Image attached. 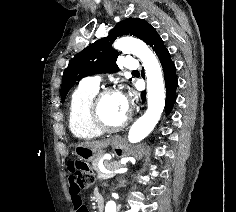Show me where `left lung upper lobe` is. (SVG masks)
Listing matches in <instances>:
<instances>
[{
    "label": "left lung upper lobe",
    "instance_id": "left-lung-upper-lobe-1",
    "mask_svg": "<svg viewBox=\"0 0 236 212\" xmlns=\"http://www.w3.org/2000/svg\"><path fill=\"white\" fill-rule=\"evenodd\" d=\"M152 29L153 27L143 19L127 18L116 24L106 37L97 40L75 55L63 73L62 103L68 91L80 79L99 73H115L119 70L117 65L119 53L111 47L117 37L133 35L146 43Z\"/></svg>",
    "mask_w": 236,
    "mask_h": 212
}]
</instances>
